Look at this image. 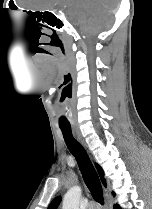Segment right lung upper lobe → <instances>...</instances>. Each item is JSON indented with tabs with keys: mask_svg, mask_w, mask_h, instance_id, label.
I'll return each mask as SVG.
<instances>
[{
	"mask_svg": "<svg viewBox=\"0 0 152 209\" xmlns=\"http://www.w3.org/2000/svg\"><path fill=\"white\" fill-rule=\"evenodd\" d=\"M96 169L100 175V178H101V181L103 183L104 186H107V183H106V180L104 178V171L103 169L98 165L96 164ZM60 201H61V197H56L51 203L50 205L48 206L47 209H57L58 205L60 204Z\"/></svg>",
	"mask_w": 152,
	"mask_h": 209,
	"instance_id": "1",
	"label": "right lung upper lobe"
}]
</instances>
